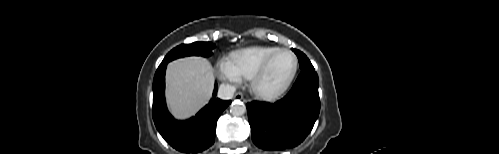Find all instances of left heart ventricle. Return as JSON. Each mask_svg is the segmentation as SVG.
<instances>
[{
    "label": "left heart ventricle",
    "mask_w": 499,
    "mask_h": 154,
    "mask_svg": "<svg viewBox=\"0 0 499 154\" xmlns=\"http://www.w3.org/2000/svg\"><path fill=\"white\" fill-rule=\"evenodd\" d=\"M292 58L283 53L278 55L270 65L260 86L264 90H273L278 87L287 77L292 68Z\"/></svg>",
    "instance_id": "1"
}]
</instances>
